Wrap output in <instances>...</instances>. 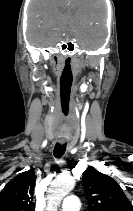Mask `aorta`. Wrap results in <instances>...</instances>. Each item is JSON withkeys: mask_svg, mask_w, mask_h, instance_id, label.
<instances>
[{"mask_svg": "<svg viewBox=\"0 0 133 211\" xmlns=\"http://www.w3.org/2000/svg\"><path fill=\"white\" fill-rule=\"evenodd\" d=\"M75 181L71 177H57L50 185L46 197L47 211H57L62 199L73 190Z\"/></svg>", "mask_w": 133, "mask_h": 211, "instance_id": "aorta-1", "label": "aorta"}]
</instances>
